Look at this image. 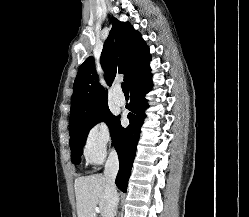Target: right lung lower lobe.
<instances>
[{"mask_svg":"<svg viewBox=\"0 0 249 217\" xmlns=\"http://www.w3.org/2000/svg\"><path fill=\"white\" fill-rule=\"evenodd\" d=\"M149 62L150 60L129 84L131 101L126 108L130 110L127 116L130 124L127 128H123L120 124V116H118L111 128L113 145L118 153L120 162L116 185L123 192L127 190L136 146L140 136V127L145 118L144 110L148 107L144 96L152 87V74Z\"/></svg>","mask_w":249,"mask_h":217,"instance_id":"98d812e1","label":"right lung lower lobe"}]
</instances>
